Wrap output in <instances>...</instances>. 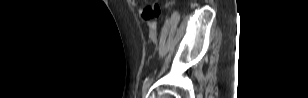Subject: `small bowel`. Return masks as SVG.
<instances>
[{"instance_id": "small-bowel-1", "label": "small bowel", "mask_w": 308, "mask_h": 98, "mask_svg": "<svg viewBox=\"0 0 308 98\" xmlns=\"http://www.w3.org/2000/svg\"><path fill=\"white\" fill-rule=\"evenodd\" d=\"M142 16H143L145 19L150 20V18L147 17V16H145L144 13H142Z\"/></svg>"}]
</instances>
